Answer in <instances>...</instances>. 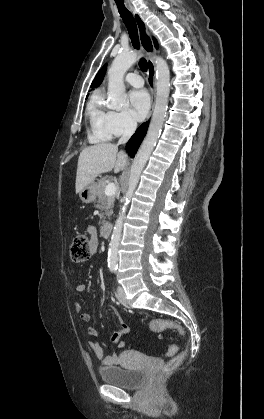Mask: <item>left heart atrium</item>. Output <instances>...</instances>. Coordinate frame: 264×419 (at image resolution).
<instances>
[{"mask_svg":"<svg viewBox=\"0 0 264 419\" xmlns=\"http://www.w3.org/2000/svg\"><path fill=\"white\" fill-rule=\"evenodd\" d=\"M132 112L137 120H143L149 113L150 98L145 90H136L130 93Z\"/></svg>","mask_w":264,"mask_h":419,"instance_id":"39dd6f15","label":"left heart atrium"}]
</instances>
